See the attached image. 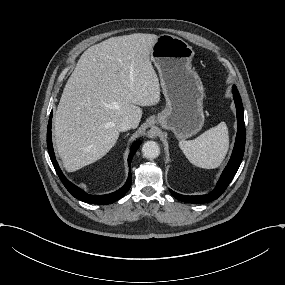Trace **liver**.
Instances as JSON below:
<instances>
[{
	"instance_id": "1",
	"label": "liver",
	"mask_w": 285,
	"mask_h": 285,
	"mask_svg": "<svg viewBox=\"0 0 285 285\" xmlns=\"http://www.w3.org/2000/svg\"><path fill=\"white\" fill-rule=\"evenodd\" d=\"M155 34L111 37L81 55L54 116L58 154L68 172L105 156L119 137L117 124L128 117L137 128L139 106L160 101L150 52Z\"/></svg>"
}]
</instances>
